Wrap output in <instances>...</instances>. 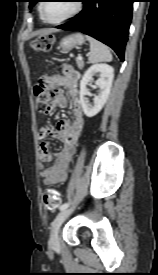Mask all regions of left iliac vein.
I'll use <instances>...</instances> for the list:
<instances>
[{
	"label": "left iliac vein",
	"instance_id": "left-iliac-vein-1",
	"mask_svg": "<svg viewBox=\"0 0 158 275\" xmlns=\"http://www.w3.org/2000/svg\"><path fill=\"white\" fill-rule=\"evenodd\" d=\"M71 212V208H66L62 210L58 213V215L55 217L52 223L49 246L53 250L59 249V228L62 225V223L67 219V217L71 214Z\"/></svg>",
	"mask_w": 158,
	"mask_h": 275
}]
</instances>
